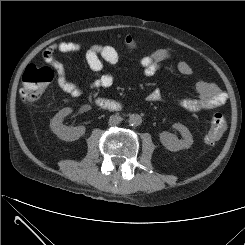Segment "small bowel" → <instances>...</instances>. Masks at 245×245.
Wrapping results in <instances>:
<instances>
[{
    "mask_svg": "<svg viewBox=\"0 0 245 245\" xmlns=\"http://www.w3.org/2000/svg\"><path fill=\"white\" fill-rule=\"evenodd\" d=\"M83 46L78 42L63 41L55 43L43 51L42 59L46 64L53 67L56 73L57 84L60 89L73 97L82 95V88L68 79L64 64L55 57V53H79ZM86 62L90 70L95 74L91 86L95 89L110 87L113 77L103 70L104 62L115 64L119 60L117 50L112 46L93 45L85 54ZM174 60V55L167 49H156L149 55L141 58L140 66L146 77L153 76L163 64ZM178 72L184 76L192 74L191 66L183 60L176 61ZM198 96L186 99L179 103L180 109L188 112H199L216 108L226 102V95L215 84L207 81H200L196 85ZM150 101H158L160 94L152 92L149 95Z\"/></svg>",
    "mask_w": 245,
    "mask_h": 245,
    "instance_id": "small-bowel-1",
    "label": "small bowel"
}]
</instances>
